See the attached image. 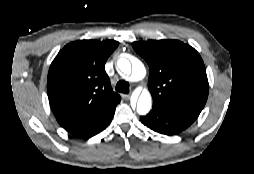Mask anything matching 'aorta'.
<instances>
[{
    "instance_id": "obj_1",
    "label": "aorta",
    "mask_w": 254,
    "mask_h": 174,
    "mask_svg": "<svg viewBox=\"0 0 254 174\" xmlns=\"http://www.w3.org/2000/svg\"><path fill=\"white\" fill-rule=\"evenodd\" d=\"M117 66L123 74L130 76L133 81L142 80L146 75L145 66L138 59H135L131 65V62L128 59L121 58L118 60ZM151 107V94L148 90H143L137 101V113L140 115H146L150 111Z\"/></svg>"
}]
</instances>
